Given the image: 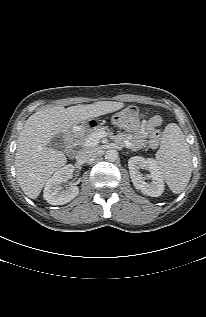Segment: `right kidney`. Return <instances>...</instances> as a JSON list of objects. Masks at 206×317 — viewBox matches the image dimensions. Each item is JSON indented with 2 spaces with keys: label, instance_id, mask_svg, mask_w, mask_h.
Returning a JSON list of instances; mask_svg holds the SVG:
<instances>
[{
  "label": "right kidney",
  "instance_id": "right-kidney-1",
  "mask_svg": "<svg viewBox=\"0 0 206 317\" xmlns=\"http://www.w3.org/2000/svg\"><path fill=\"white\" fill-rule=\"evenodd\" d=\"M74 166L65 165L57 170L54 175L47 180L44 187V199L51 205H63L73 200L79 193V188L74 184L61 190L60 184L73 177Z\"/></svg>",
  "mask_w": 206,
  "mask_h": 317
}]
</instances>
